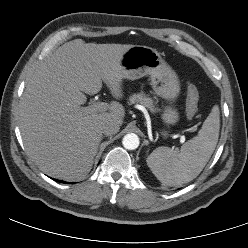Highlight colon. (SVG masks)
Returning a JSON list of instances; mask_svg holds the SVG:
<instances>
[{
  "label": "colon",
  "mask_w": 248,
  "mask_h": 248,
  "mask_svg": "<svg viewBox=\"0 0 248 248\" xmlns=\"http://www.w3.org/2000/svg\"><path fill=\"white\" fill-rule=\"evenodd\" d=\"M199 94L193 84H188L186 95V115L188 118L194 117L198 110Z\"/></svg>",
  "instance_id": "obj_1"
}]
</instances>
